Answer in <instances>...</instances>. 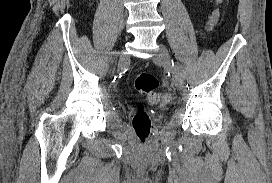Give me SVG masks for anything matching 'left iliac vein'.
Listing matches in <instances>:
<instances>
[{
  "label": "left iliac vein",
  "instance_id": "left-iliac-vein-1",
  "mask_svg": "<svg viewBox=\"0 0 272 183\" xmlns=\"http://www.w3.org/2000/svg\"><path fill=\"white\" fill-rule=\"evenodd\" d=\"M154 62L164 66L167 70L173 71L171 66V58L167 48L160 44L156 54L153 57ZM174 84L179 90H183L185 88L184 82L179 80L177 77L174 78Z\"/></svg>",
  "mask_w": 272,
  "mask_h": 183
}]
</instances>
